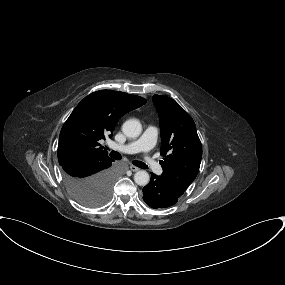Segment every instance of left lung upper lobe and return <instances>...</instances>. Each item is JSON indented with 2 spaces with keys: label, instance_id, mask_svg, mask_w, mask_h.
I'll list each match as a JSON object with an SVG mask.
<instances>
[{
  "label": "left lung upper lobe",
  "instance_id": "left-lung-upper-lobe-1",
  "mask_svg": "<svg viewBox=\"0 0 285 285\" xmlns=\"http://www.w3.org/2000/svg\"><path fill=\"white\" fill-rule=\"evenodd\" d=\"M159 113L162 176L184 192L196 178L202 158V146L190 115L173 99L154 95Z\"/></svg>",
  "mask_w": 285,
  "mask_h": 285
}]
</instances>
